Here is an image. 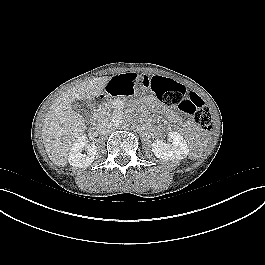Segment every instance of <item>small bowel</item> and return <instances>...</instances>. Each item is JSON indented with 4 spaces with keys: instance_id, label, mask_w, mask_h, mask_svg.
Masks as SVG:
<instances>
[{
    "instance_id": "c3829d8e",
    "label": "small bowel",
    "mask_w": 265,
    "mask_h": 265,
    "mask_svg": "<svg viewBox=\"0 0 265 265\" xmlns=\"http://www.w3.org/2000/svg\"><path fill=\"white\" fill-rule=\"evenodd\" d=\"M142 84V77L138 73H126L112 78L107 87L109 91L115 95H130L134 88L140 87ZM175 116V113H171Z\"/></svg>"
}]
</instances>
